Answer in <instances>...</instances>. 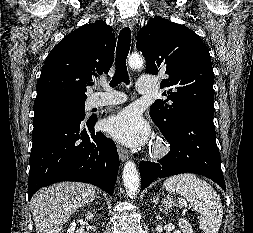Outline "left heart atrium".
<instances>
[{"label": "left heart atrium", "mask_w": 253, "mask_h": 233, "mask_svg": "<svg viewBox=\"0 0 253 233\" xmlns=\"http://www.w3.org/2000/svg\"><path fill=\"white\" fill-rule=\"evenodd\" d=\"M104 129L114 139L133 147L144 144L150 134L148 123L134 108L124 109L108 118L104 122Z\"/></svg>", "instance_id": "obj_1"}]
</instances>
